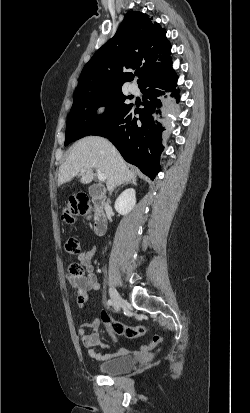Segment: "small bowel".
<instances>
[{
	"mask_svg": "<svg viewBox=\"0 0 250 413\" xmlns=\"http://www.w3.org/2000/svg\"><path fill=\"white\" fill-rule=\"evenodd\" d=\"M94 256V248H89L81 251L78 255V263L70 264L66 269V278L72 288H74L81 295V304H86L89 300L88 292L97 291L100 288L96 275L94 274V267L92 259ZM74 264L80 265L86 275L77 276L71 272V267ZM107 325V324H106ZM100 320L93 318L80 324L78 332L84 347L91 358L96 360H109L128 352L125 347H119L115 352L105 351L108 345L101 339L98 332ZM108 333L113 341H117V337L112 329L107 325ZM146 328V327H145ZM96 347L103 349V352H98Z\"/></svg>",
	"mask_w": 250,
	"mask_h": 413,
	"instance_id": "obj_1",
	"label": "small bowel"
}]
</instances>
